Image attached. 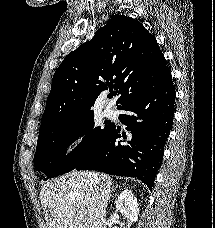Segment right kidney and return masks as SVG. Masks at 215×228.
<instances>
[{
  "mask_svg": "<svg viewBox=\"0 0 215 228\" xmlns=\"http://www.w3.org/2000/svg\"><path fill=\"white\" fill-rule=\"evenodd\" d=\"M116 208L130 222H138L139 204L131 190H124L116 200Z\"/></svg>",
  "mask_w": 215,
  "mask_h": 228,
  "instance_id": "1",
  "label": "right kidney"
}]
</instances>
